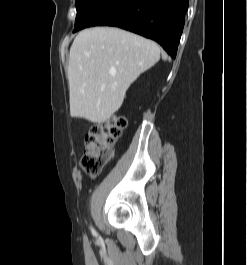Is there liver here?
<instances>
[{"label":"liver","mask_w":247,"mask_h":265,"mask_svg":"<svg viewBox=\"0 0 247 265\" xmlns=\"http://www.w3.org/2000/svg\"><path fill=\"white\" fill-rule=\"evenodd\" d=\"M160 59L158 45L113 27L81 31L70 48V113L103 123L122 105L139 75Z\"/></svg>","instance_id":"6515ba94"}]
</instances>
